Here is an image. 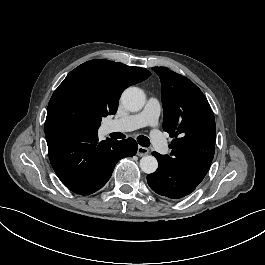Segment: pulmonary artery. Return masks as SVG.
<instances>
[{
  "label": "pulmonary artery",
  "instance_id": "pulmonary-artery-1",
  "mask_svg": "<svg viewBox=\"0 0 265 265\" xmlns=\"http://www.w3.org/2000/svg\"><path fill=\"white\" fill-rule=\"evenodd\" d=\"M148 105L138 113L122 117L121 119L112 120L108 124V128L117 133H124L126 130H141L144 127H151L159 118V97L150 95L148 97Z\"/></svg>",
  "mask_w": 265,
  "mask_h": 265
}]
</instances>
